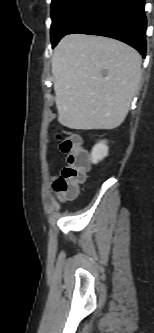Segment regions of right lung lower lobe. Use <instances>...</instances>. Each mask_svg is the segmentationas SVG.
<instances>
[{"mask_svg":"<svg viewBox=\"0 0 154 333\" xmlns=\"http://www.w3.org/2000/svg\"><path fill=\"white\" fill-rule=\"evenodd\" d=\"M145 0H99L90 13L68 34L83 33L120 40L146 53Z\"/></svg>","mask_w":154,"mask_h":333,"instance_id":"98d812e1","label":"right lung lower lobe"}]
</instances>
